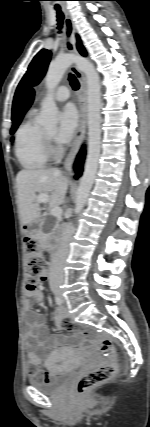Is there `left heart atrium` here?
<instances>
[{
  "mask_svg": "<svg viewBox=\"0 0 150 427\" xmlns=\"http://www.w3.org/2000/svg\"><path fill=\"white\" fill-rule=\"evenodd\" d=\"M79 118L76 109L72 105L64 107L60 114V125L55 135L58 144H68L76 134Z\"/></svg>",
  "mask_w": 150,
  "mask_h": 427,
  "instance_id": "obj_1",
  "label": "left heart atrium"
}]
</instances>
